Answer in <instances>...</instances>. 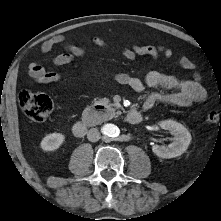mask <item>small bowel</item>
Here are the masks:
<instances>
[{"label": "small bowel", "instance_id": "obj_1", "mask_svg": "<svg viewBox=\"0 0 221 221\" xmlns=\"http://www.w3.org/2000/svg\"><path fill=\"white\" fill-rule=\"evenodd\" d=\"M65 41L63 35H56L40 46L43 54L49 53L54 47ZM93 44L97 46H105L100 38H94ZM64 53L55 56L52 60L53 65L63 66L73 62L75 57H81L86 54V45H68L65 47ZM123 58L134 60L137 56L148 55L154 60H158L160 54L167 59L175 58L171 49L160 45H138L133 44L130 47L123 48L120 51ZM181 68L187 70H195L194 63L186 57L177 58ZM29 76L37 83H51L65 80L64 76L56 71L47 70L42 64L32 62L28 67ZM113 79L123 85L131 87L135 92H142L145 85L154 88L169 91L167 93L153 91L150 93L143 103V109L149 110L156 103H164L177 107H190L194 103L203 102L206 99V92L199 82V75L194 73L193 79H183L173 75L165 74L160 71H150L144 78L132 76L127 73H118Z\"/></svg>", "mask_w": 221, "mask_h": 221}]
</instances>
